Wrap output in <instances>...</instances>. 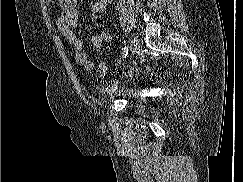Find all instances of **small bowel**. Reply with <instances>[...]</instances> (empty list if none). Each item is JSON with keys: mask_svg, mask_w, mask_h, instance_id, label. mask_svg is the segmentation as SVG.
<instances>
[{"mask_svg": "<svg viewBox=\"0 0 243 182\" xmlns=\"http://www.w3.org/2000/svg\"><path fill=\"white\" fill-rule=\"evenodd\" d=\"M113 0H97L90 6L92 14L98 15L104 12L108 3ZM78 0H59L61 12L57 17L56 24L61 35L69 42L75 55V61L86 70L93 68V62L83 49L81 38L75 33V28L79 21L77 9ZM110 40L109 32L105 29L100 30L91 38V47L99 49L104 42Z\"/></svg>", "mask_w": 243, "mask_h": 182, "instance_id": "small-bowel-1", "label": "small bowel"}]
</instances>
